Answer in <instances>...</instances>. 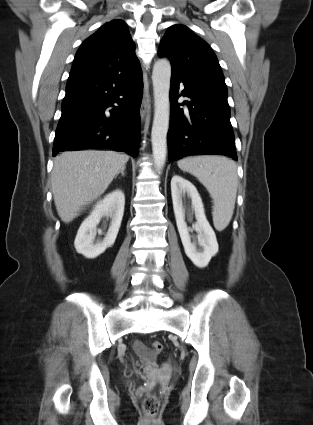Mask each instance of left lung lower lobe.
I'll return each mask as SVG.
<instances>
[{
    "instance_id": "obj_1",
    "label": "left lung lower lobe",
    "mask_w": 313,
    "mask_h": 425,
    "mask_svg": "<svg viewBox=\"0 0 313 425\" xmlns=\"http://www.w3.org/2000/svg\"><path fill=\"white\" fill-rule=\"evenodd\" d=\"M184 90L179 94V84ZM189 100L178 104L180 96ZM186 105L184 111L180 105ZM169 162L190 155H225L237 160L227 92L199 87L171 74Z\"/></svg>"
}]
</instances>
